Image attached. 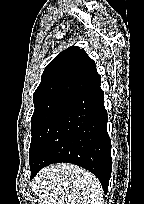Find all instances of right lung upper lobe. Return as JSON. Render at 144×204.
Returning <instances> with one entry per match:
<instances>
[{
	"label": "right lung upper lobe",
	"instance_id": "1",
	"mask_svg": "<svg viewBox=\"0 0 144 204\" xmlns=\"http://www.w3.org/2000/svg\"><path fill=\"white\" fill-rule=\"evenodd\" d=\"M100 81L94 61L84 49L69 47L45 68L34 93V104L61 95L77 97L99 86Z\"/></svg>",
	"mask_w": 144,
	"mask_h": 204
}]
</instances>
